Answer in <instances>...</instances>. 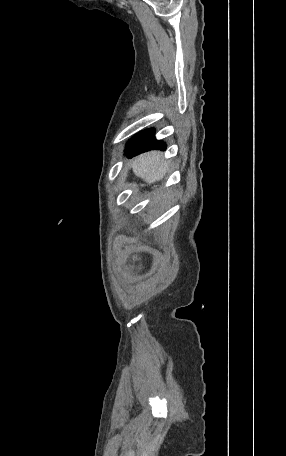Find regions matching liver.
Masks as SVG:
<instances>
[{
    "instance_id": "liver-1",
    "label": "liver",
    "mask_w": 286,
    "mask_h": 456,
    "mask_svg": "<svg viewBox=\"0 0 286 456\" xmlns=\"http://www.w3.org/2000/svg\"><path fill=\"white\" fill-rule=\"evenodd\" d=\"M132 169L137 177L151 184L163 179L168 171V163L162 159L161 153L151 151L136 157Z\"/></svg>"
}]
</instances>
